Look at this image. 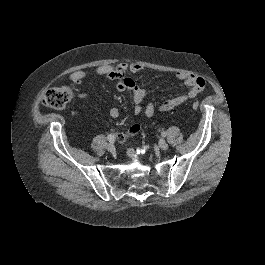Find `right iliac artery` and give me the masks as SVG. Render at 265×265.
<instances>
[{
  "mask_svg": "<svg viewBox=\"0 0 265 265\" xmlns=\"http://www.w3.org/2000/svg\"><path fill=\"white\" fill-rule=\"evenodd\" d=\"M109 142H113L115 140V135L114 134H109L107 137Z\"/></svg>",
  "mask_w": 265,
  "mask_h": 265,
  "instance_id": "obj_1",
  "label": "right iliac artery"
}]
</instances>
